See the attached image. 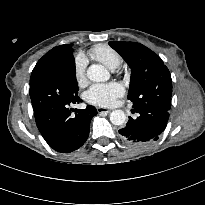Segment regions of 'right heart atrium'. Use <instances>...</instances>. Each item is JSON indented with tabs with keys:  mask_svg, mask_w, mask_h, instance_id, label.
Returning <instances> with one entry per match:
<instances>
[{
	"mask_svg": "<svg viewBox=\"0 0 205 205\" xmlns=\"http://www.w3.org/2000/svg\"><path fill=\"white\" fill-rule=\"evenodd\" d=\"M87 59L83 54H78L74 60V76L78 85L86 82Z\"/></svg>",
	"mask_w": 205,
	"mask_h": 205,
	"instance_id": "right-heart-atrium-1",
	"label": "right heart atrium"
}]
</instances>
